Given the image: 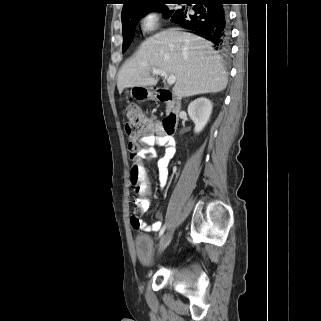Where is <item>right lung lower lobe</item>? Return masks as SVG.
I'll return each mask as SVG.
<instances>
[{
    "instance_id": "right-lung-lower-lobe-1",
    "label": "right lung lower lobe",
    "mask_w": 321,
    "mask_h": 321,
    "mask_svg": "<svg viewBox=\"0 0 321 321\" xmlns=\"http://www.w3.org/2000/svg\"><path fill=\"white\" fill-rule=\"evenodd\" d=\"M228 0H188L187 5L195 3L194 13L188 8L176 10L170 21L213 42L217 48L225 47L228 41L227 12L223 4Z\"/></svg>"
}]
</instances>
